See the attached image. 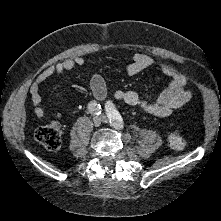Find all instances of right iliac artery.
Returning a JSON list of instances; mask_svg holds the SVG:
<instances>
[{"instance_id":"obj_1","label":"right iliac artery","mask_w":221,"mask_h":221,"mask_svg":"<svg viewBox=\"0 0 221 221\" xmlns=\"http://www.w3.org/2000/svg\"><path fill=\"white\" fill-rule=\"evenodd\" d=\"M88 111L94 115H100L101 114V106L98 104L95 100H92L88 104Z\"/></svg>"}]
</instances>
